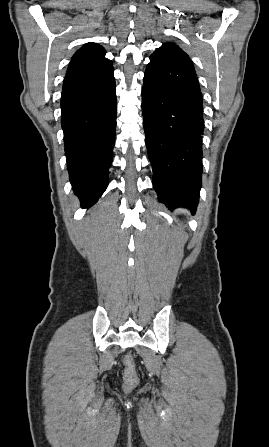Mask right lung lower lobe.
Segmentation results:
<instances>
[{
    "instance_id": "98d812e1",
    "label": "right lung lower lobe",
    "mask_w": 269,
    "mask_h": 447,
    "mask_svg": "<svg viewBox=\"0 0 269 447\" xmlns=\"http://www.w3.org/2000/svg\"><path fill=\"white\" fill-rule=\"evenodd\" d=\"M112 63L66 75L61 125L69 179L88 208L108 185L115 142L117 101Z\"/></svg>"
}]
</instances>
